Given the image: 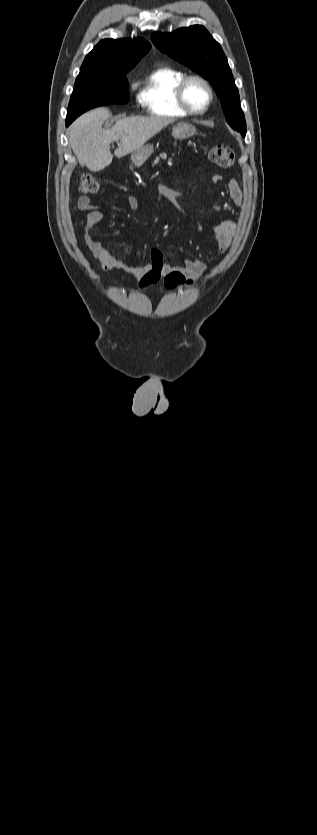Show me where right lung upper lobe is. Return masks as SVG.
Instances as JSON below:
<instances>
[{
    "mask_svg": "<svg viewBox=\"0 0 317 835\" xmlns=\"http://www.w3.org/2000/svg\"><path fill=\"white\" fill-rule=\"evenodd\" d=\"M150 47V44L141 38L102 40L85 57L80 72L105 73L132 69Z\"/></svg>",
    "mask_w": 317,
    "mask_h": 835,
    "instance_id": "obj_1",
    "label": "right lung upper lobe"
}]
</instances>
